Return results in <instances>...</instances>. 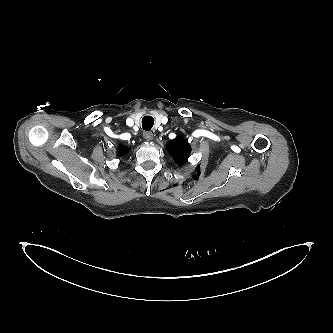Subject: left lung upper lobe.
I'll return each instance as SVG.
<instances>
[{
    "mask_svg": "<svg viewBox=\"0 0 333 333\" xmlns=\"http://www.w3.org/2000/svg\"><path fill=\"white\" fill-rule=\"evenodd\" d=\"M167 150L173 155L176 163L182 165L187 161L191 148L181 136H178L167 142Z\"/></svg>",
    "mask_w": 333,
    "mask_h": 333,
    "instance_id": "left-lung-upper-lobe-1",
    "label": "left lung upper lobe"
}]
</instances>
